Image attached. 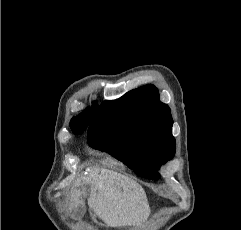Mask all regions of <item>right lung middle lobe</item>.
Masks as SVG:
<instances>
[{
  "mask_svg": "<svg viewBox=\"0 0 241 230\" xmlns=\"http://www.w3.org/2000/svg\"><path fill=\"white\" fill-rule=\"evenodd\" d=\"M83 131H77V132H74V134H81Z\"/></svg>",
  "mask_w": 241,
  "mask_h": 230,
  "instance_id": "1",
  "label": "right lung middle lobe"
}]
</instances>
